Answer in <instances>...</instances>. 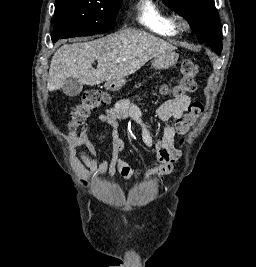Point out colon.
<instances>
[{"instance_id": "obj_1", "label": "colon", "mask_w": 256, "mask_h": 267, "mask_svg": "<svg viewBox=\"0 0 256 267\" xmlns=\"http://www.w3.org/2000/svg\"><path fill=\"white\" fill-rule=\"evenodd\" d=\"M198 74L197 63L190 58L183 59L180 63V80L175 86L163 85L162 92L166 95L181 99L185 94L197 89L195 77ZM110 95L102 89L88 91L80 103L72 109L70 119L67 123L70 133H76L86 123L89 116L98 111L102 106L108 104ZM204 112V104L200 100L192 101L184 116L175 122V130L181 138L180 144L184 143V137L198 121Z\"/></svg>"}]
</instances>
